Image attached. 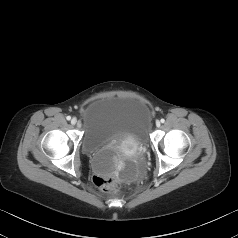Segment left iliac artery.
<instances>
[{
	"instance_id": "44dca946",
	"label": "left iliac artery",
	"mask_w": 238,
	"mask_h": 238,
	"mask_svg": "<svg viewBox=\"0 0 238 238\" xmlns=\"http://www.w3.org/2000/svg\"><path fill=\"white\" fill-rule=\"evenodd\" d=\"M165 122V120L164 119H161V123H164Z\"/></svg>"
}]
</instances>
